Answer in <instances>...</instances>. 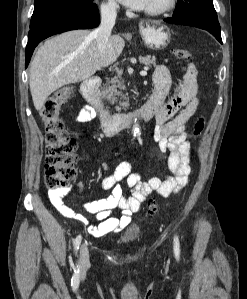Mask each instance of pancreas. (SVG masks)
<instances>
[{"label":"pancreas","mask_w":247,"mask_h":299,"mask_svg":"<svg viewBox=\"0 0 247 299\" xmlns=\"http://www.w3.org/2000/svg\"><path fill=\"white\" fill-rule=\"evenodd\" d=\"M139 61L146 67H153L155 66L156 58L154 56L151 57L150 55H147L145 57L140 56ZM122 91H125V86L121 77L118 75L104 85V87L102 88V95L105 99L114 103L118 102L117 96H120L121 98L126 97ZM120 104L121 106H123V109H125L127 106L126 102H122ZM117 110L119 111L121 110V108L117 107Z\"/></svg>","instance_id":"pancreas-1"}]
</instances>
